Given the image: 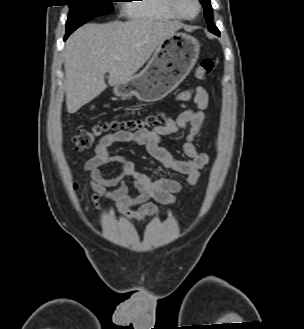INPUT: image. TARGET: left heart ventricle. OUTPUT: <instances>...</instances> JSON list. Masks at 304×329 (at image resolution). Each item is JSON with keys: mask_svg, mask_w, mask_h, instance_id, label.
Instances as JSON below:
<instances>
[{"mask_svg": "<svg viewBox=\"0 0 304 329\" xmlns=\"http://www.w3.org/2000/svg\"><path fill=\"white\" fill-rule=\"evenodd\" d=\"M177 6L180 12L186 16H192L197 11V5L194 0H177Z\"/></svg>", "mask_w": 304, "mask_h": 329, "instance_id": "obj_1", "label": "left heart ventricle"}]
</instances>
